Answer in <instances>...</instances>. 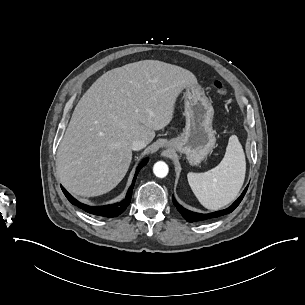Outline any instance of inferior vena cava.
<instances>
[{
    "instance_id": "602c4592",
    "label": "inferior vena cava",
    "mask_w": 305,
    "mask_h": 305,
    "mask_svg": "<svg viewBox=\"0 0 305 305\" xmlns=\"http://www.w3.org/2000/svg\"><path fill=\"white\" fill-rule=\"evenodd\" d=\"M130 146H131V149L138 150V149L144 148L146 146V142L141 139H134L130 143Z\"/></svg>"
}]
</instances>
